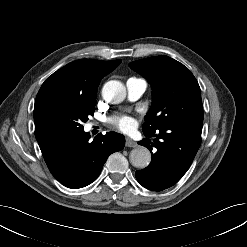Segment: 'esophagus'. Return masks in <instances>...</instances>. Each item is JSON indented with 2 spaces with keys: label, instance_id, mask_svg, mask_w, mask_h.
I'll list each match as a JSON object with an SVG mask.
<instances>
[{
  "label": "esophagus",
  "instance_id": "1",
  "mask_svg": "<svg viewBox=\"0 0 247 247\" xmlns=\"http://www.w3.org/2000/svg\"><path fill=\"white\" fill-rule=\"evenodd\" d=\"M126 146L127 147H132V148H135V147H137L138 146V144L134 141V140H132L131 138H126Z\"/></svg>",
  "mask_w": 247,
  "mask_h": 247
}]
</instances>
